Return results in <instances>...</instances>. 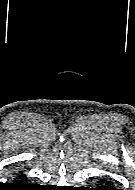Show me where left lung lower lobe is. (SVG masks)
I'll list each match as a JSON object with an SVG mask.
<instances>
[{
    "instance_id": "left-lung-lower-lobe-1",
    "label": "left lung lower lobe",
    "mask_w": 135,
    "mask_h": 190,
    "mask_svg": "<svg viewBox=\"0 0 135 190\" xmlns=\"http://www.w3.org/2000/svg\"><path fill=\"white\" fill-rule=\"evenodd\" d=\"M102 183H105L104 181ZM96 190H117V189H110V188H96Z\"/></svg>"
}]
</instances>
